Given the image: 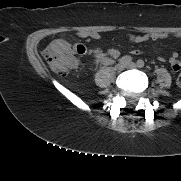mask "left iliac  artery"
<instances>
[{
	"label": "left iliac artery",
	"instance_id": "obj_1",
	"mask_svg": "<svg viewBox=\"0 0 181 181\" xmlns=\"http://www.w3.org/2000/svg\"><path fill=\"white\" fill-rule=\"evenodd\" d=\"M144 64H145L144 61L141 60V59H139V60L137 61V66L140 67V68L144 67Z\"/></svg>",
	"mask_w": 181,
	"mask_h": 181
}]
</instances>
